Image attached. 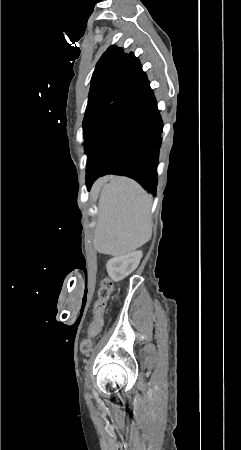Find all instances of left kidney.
Masks as SVG:
<instances>
[{"label":"left kidney","mask_w":241,"mask_h":450,"mask_svg":"<svg viewBox=\"0 0 241 450\" xmlns=\"http://www.w3.org/2000/svg\"><path fill=\"white\" fill-rule=\"evenodd\" d=\"M143 256V252H131L126 256H117V258H111L106 264L107 272L112 278L113 282H120L124 280L126 276H129L131 272H134L140 264V260Z\"/></svg>","instance_id":"left-kidney-1"}]
</instances>
